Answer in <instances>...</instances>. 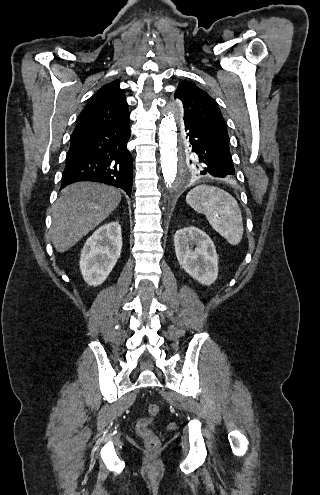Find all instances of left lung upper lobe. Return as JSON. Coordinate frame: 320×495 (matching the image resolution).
Here are the masks:
<instances>
[{"label":"left lung upper lobe","mask_w":320,"mask_h":495,"mask_svg":"<svg viewBox=\"0 0 320 495\" xmlns=\"http://www.w3.org/2000/svg\"><path fill=\"white\" fill-rule=\"evenodd\" d=\"M174 98L182 102L183 118L194 119L219 140L229 144L227 128L215 101L195 84L183 80L175 91ZM183 166L188 177L201 176L200 152L190 144L183 146Z\"/></svg>","instance_id":"obj_1"}]
</instances>
